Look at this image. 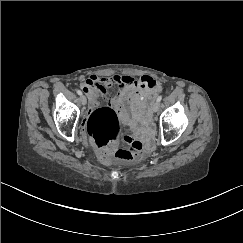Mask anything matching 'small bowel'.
<instances>
[{"label": "small bowel", "instance_id": "1", "mask_svg": "<svg viewBox=\"0 0 243 243\" xmlns=\"http://www.w3.org/2000/svg\"><path fill=\"white\" fill-rule=\"evenodd\" d=\"M113 84L118 86V92L111 97L107 89ZM81 88L88 95L91 110L98 105V97L102 94L114 108L120 120L130 125L138 120L143 102L153 100L161 91L158 82L148 75L138 80L120 74L106 78L91 75Z\"/></svg>", "mask_w": 243, "mask_h": 243}]
</instances>
